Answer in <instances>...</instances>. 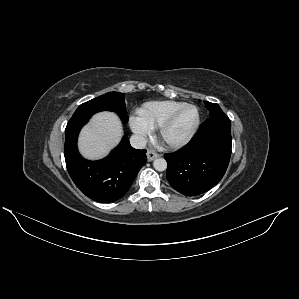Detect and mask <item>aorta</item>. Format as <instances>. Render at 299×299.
Wrapping results in <instances>:
<instances>
[{"label":"aorta","mask_w":299,"mask_h":299,"mask_svg":"<svg viewBox=\"0 0 299 299\" xmlns=\"http://www.w3.org/2000/svg\"><path fill=\"white\" fill-rule=\"evenodd\" d=\"M153 167L157 171H164L167 168V162L164 158H157L153 162Z\"/></svg>","instance_id":"1"}]
</instances>
